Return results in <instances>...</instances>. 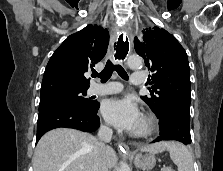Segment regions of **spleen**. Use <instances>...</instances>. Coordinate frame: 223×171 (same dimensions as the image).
I'll list each match as a JSON object with an SVG mask.
<instances>
[{
    "instance_id": "3e777b00",
    "label": "spleen",
    "mask_w": 223,
    "mask_h": 171,
    "mask_svg": "<svg viewBox=\"0 0 223 171\" xmlns=\"http://www.w3.org/2000/svg\"><path fill=\"white\" fill-rule=\"evenodd\" d=\"M170 158L177 165L178 171H194L193 156L187 147L177 142H165Z\"/></svg>"
}]
</instances>
